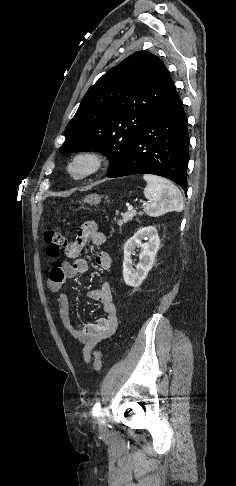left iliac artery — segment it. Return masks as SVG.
<instances>
[{"label": "left iliac artery", "mask_w": 236, "mask_h": 486, "mask_svg": "<svg viewBox=\"0 0 236 486\" xmlns=\"http://www.w3.org/2000/svg\"><path fill=\"white\" fill-rule=\"evenodd\" d=\"M99 411H100V403H99V402H97V403L94 405V408H93V414H94V415H97Z\"/></svg>", "instance_id": "44dca946"}]
</instances>
